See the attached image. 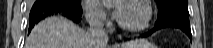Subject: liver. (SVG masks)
Returning a JSON list of instances; mask_svg holds the SVG:
<instances>
[{
	"label": "liver",
	"instance_id": "1",
	"mask_svg": "<svg viewBox=\"0 0 213 48\" xmlns=\"http://www.w3.org/2000/svg\"><path fill=\"white\" fill-rule=\"evenodd\" d=\"M143 40L123 44L134 48ZM25 48H97L87 31L62 16H52L37 24L26 39ZM99 48H105L99 47Z\"/></svg>",
	"mask_w": 213,
	"mask_h": 48
}]
</instances>
